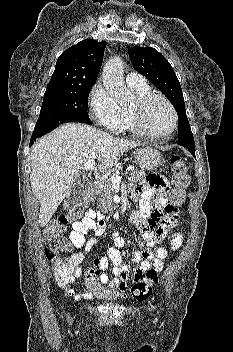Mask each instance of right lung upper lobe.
<instances>
[{
    "instance_id": "right-lung-upper-lobe-1",
    "label": "right lung upper lobe",
    "mask_w": 233,
    "mask_h": 352,
    "mask_svg": "<svg viewBox=\"0 0 233 352\" xmlns=\"http://www.w3.org/2000/svg\"><path fill=\"white\" fill-rule=\"evenodd\" d=\"M106 42L80 41L58 58L47 88H73L93 85L101 68Z\"/></svg>"
}]
</instances>
